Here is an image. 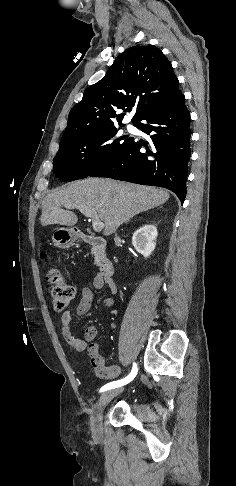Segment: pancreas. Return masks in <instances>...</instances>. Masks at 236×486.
Here are the masks:
<instances>
[{"mask_svg":"<svg viewBox=\"0 0 236 486\" xmlns=\"http://www.w3.org/2000/svg\"><path fill=\"white\" fill-rule=\"evenodd\" d=\"M95 264L98 265L99 264V260L97 257H95Z\"/></svg>","mask_w":236,"mask_h":486,"instance_id":"1","label":"pancreas"}]
</instances>
